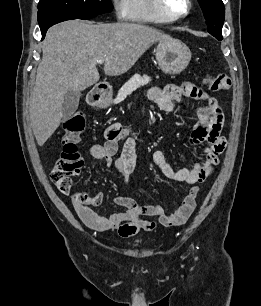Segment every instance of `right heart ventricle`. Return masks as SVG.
<instances>
[{"label":"right heart ventricle","mask_w":261,"mask_h":306,"mask_svg":"<svg viewBox=\"0 0 261 306\" xmlns=\"http://www.w3.org/2000/svg\"><path fill=\"white\" fill-rule=\"evenodd\" d=\"M129 19L142 23H168L157 8L156 0H129Z\"/></svg>","instance_id":"e07e8e85"}]
</instances>
